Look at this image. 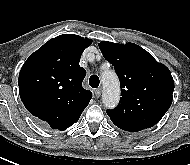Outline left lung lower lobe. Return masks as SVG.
I'll use <instances>...</instances> for the list:
<instances>
[{
    "instance_id": "left-lung-lower-lobe-1",
    "label": "left lung lower lobe",
    "mask_w": 190,
    "mask_h": 165,
    "mask_svg": "<svg viewBox=\"0 0 190 165\" xmlns=\"http://www.w3.org/2000/svg\"><path fill=\"white\" fill-rule=\"evenodd\" d=\"M117 127H119L120 129L122 130H125V131H130V132H136L138 130H135L133 128H130V127H127V126H124V125H120V124H117V123H114Z\"/></svg>"
}]
</instances>
